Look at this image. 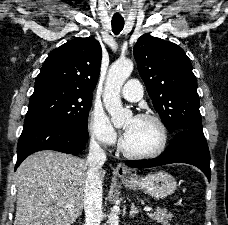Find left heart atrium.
I'll list each match as a JSON object with an SVG mask.
<instances>
[{
  "label": "left heart atrium",
  "mask_w": 228,
  "mask_h": 225,
  "mask_svg": "<svg viewBox=\"0 0 228 225\" xmlns=\"http://www.w3.org/2000/svg\"><path fill=\"white\" fill-rule=\"evenodd\" d=\"M131 130H132V126H129V127L125 128L124 137L128 136L130 134Z\"/></svg>",
  "instance_id": "39dd6f15"
}]
</instances>
